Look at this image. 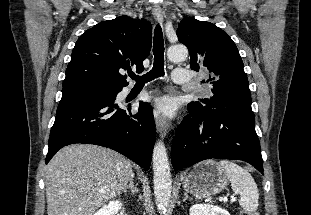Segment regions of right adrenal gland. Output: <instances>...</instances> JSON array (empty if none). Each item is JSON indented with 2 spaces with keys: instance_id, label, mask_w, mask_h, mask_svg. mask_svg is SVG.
Listing matches in <instances>:
<instances>
[{
  "instance_id": "1",
  "label": "right adrenal gland",
  "mask_w": 311,
  "mask_h": 215,
  "mask_svg": "<svg viewBox=\"0 0 311 215\" xmlns=\"http://www.w3.org/2000/svg\"><path fill=\"white\" fill-rule=\"evenodd\" d=\"M128 190L131 191V193L134 195L135 193H138V188L135 186L134 184V175L132 176V178L130 179V183L129 185H127L124 189V193L127 194Z\"/></svg>"
}]
</instances>
